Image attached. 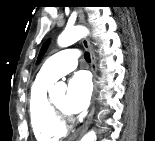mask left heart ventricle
Listing matches in <instances>:
<instances>
[{"label":"left heart ventricle","mask_w":155,"mask_h":141,"mask_svg":"<svg viewBox=\"0 0 155 141\" xmlns=\"http://www.w3.org/2000/svg\"><path fill=\"white\" fill-rule=\"evenodd\" d=\"M65 98H66L65 94H59V95L55 96L54 98H52V100L59 109L66 112Z\"/></svg>","instance_id":"left-heart-ventricle-1"}]
</instances>
